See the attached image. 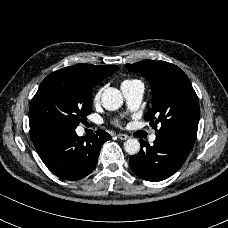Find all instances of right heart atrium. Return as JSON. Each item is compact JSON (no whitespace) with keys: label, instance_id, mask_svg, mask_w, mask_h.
I'll list each match as a JSON object with an SVG mask.
<instances>
[{"label":"right heart atrium","instance_id":"right-heart-atrium-1","mask_svg":"<svg viewBox=\"0 0 228 228\" xmlns=\"http://www.w3.org/2000/svg\"><path fill=\"white\" fill-rule=\"evenodd\" d=\"M101 91H102V89H100V90L97 92V94H96V96H95L96 99L100 97Z\"/></svg>","mask_w":228,"mask_h":228}]
</instances>
